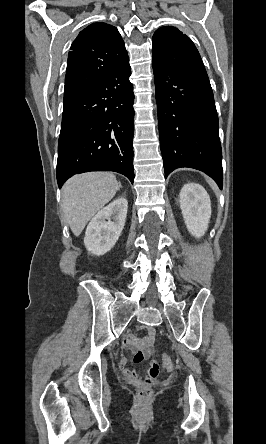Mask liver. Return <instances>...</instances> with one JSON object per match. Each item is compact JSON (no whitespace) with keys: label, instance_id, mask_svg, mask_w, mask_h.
<instances>
[{"label":"liver","instance_id":"obj_1","mask_svg":"<svg viewBox=\"0 0 266 444\" xmlns=\"http://www.w3.org/2000/svg\"><path fill=\"white\" fill-rule=\"evenodd\" d=\"M120 188L112 173L90 172L70 178L62 189V210L75 236Z\"/></svg>","mask_w":266,"mask_h":444}]
</instances>
